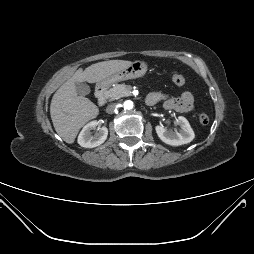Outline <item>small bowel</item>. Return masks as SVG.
<instances>
[{
	"instance_id": "1",
	"label": "small bowel",
	"mask_w": 254,
	"mask_h": 254,
	"mask_svg": "<svg viewBox=\"0 0 254 254\" xmlns=\"http://www.w3.org/2000/svg\"><path fill=\"white\" fill-rule=\"evenodd\" d=\"M147 100L151 105L162 102L165 109L175 110L181 113L190 112L194 109V97L189 91L182 92L176 98L167 97L161 92H152L147 96Z\"/></svg>"
}]
</instances>
